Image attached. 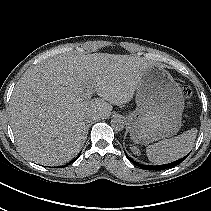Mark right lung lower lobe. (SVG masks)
Masks as SVG:
<instances>
[{
    "instance_id": "obj_1",
    "label": "right lung lower lobe",
    "mask_w": 211,
    "mask_h": 211,
    "mask_svg": "<svg viewBox=\"0 0 211 211\" xmlns=\"http://www.w3.org/2000/svg\"><path fill=\"white\" fill-rule=\"evenodd\" d=\"M78 157H79V156H78ZM78 157H77V158H78ZM77 158H75L73 161H75ZM73 161H72V162H73ZM70 163H71V162H70ZM68 164H69V163H68ZM65 166H66V165H65Z\"/></svg>"
}]
</instances>
